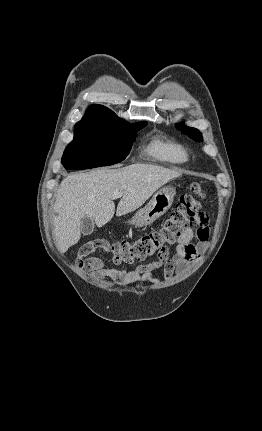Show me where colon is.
<instances>
[{"mask_svg":"<svg viewBox=\"0 0 262 431\" xmlns=\"http://www.w3.org/2000/svg\"><path fill=\"white\" fill-rule=\"evenodd\" d=\"M205 193L199 184H193L191 191L180 197L176 209L158 229L146 232L126 241H112L105 238L84 244L77 255L78 265L90 271L83 257L99 250L118 264H132L145 261L153 256H165L168 246L175 243L192 223L207 224L208 217L200 211Z\"/></svg>","mask_w":262,"mask_h":431,"instance_id":"colon-1","label":"colon"}]
</instances>
